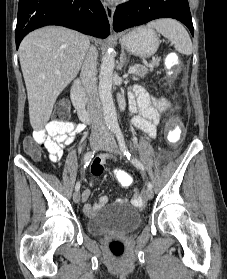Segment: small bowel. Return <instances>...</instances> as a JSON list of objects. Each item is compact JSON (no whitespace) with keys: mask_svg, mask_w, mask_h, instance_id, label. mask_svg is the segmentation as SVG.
I'll list each match as a JSON object with an SVG mask.
<instances>
[{"mask_svg":"<svg viewBox=\"0 0 227 279\" xmlns=\"http://www.w3.org/2000/svg\"><path fill=\"white\" fill-rule=\"evenodd\" d=\"M170 107L171 101L168 98L151 96L140 86H135L134 95L130 96V110L135 114L132 118V123L152 138L156 136V127L160 120V114L167 112ZM83 128L81 123L73 121L68 122L63 127L57 122H51L44 128L36 130L27 141L34 140L42 144L49 154L50 161L56 162L62 157L64 148L74 141L75 135L82 131ZM104 160L105 157L99 158V162ZM96 175L99 174H95L91 178V184L95 183ZM89 197L90 191L85 189L82 192L83 201H87ZM107 201L108 198L102 196L95 204H85L83 212L90 215L106 204Z\"/></svg>","mask_w":227,"mask_h":279,"instance_id":"small-bowel-1","label":"small bowel"}]
</instances>
